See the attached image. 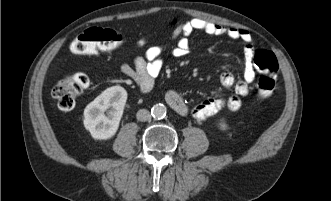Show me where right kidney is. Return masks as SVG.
<instances>
[{"mask_svg": "<svg viewBox=\"0 0 331 201\" xmlns=\"http://www.w3.org/2000/svg\"><path fill=\"white\" fill-rule=\"evenodd\" d=\"M126 100V90L112 86L86 106L83 123L94 139L107 140L116 134Z\"/></svg>", "mask_w": 331, "mask_h": 201, "instance_id": "right-kidney-1", "label": "right kidney"}]
</instances>
